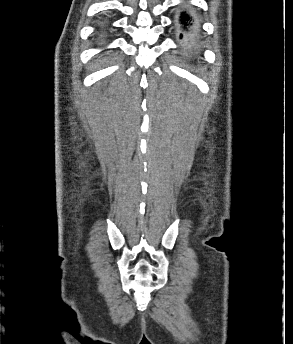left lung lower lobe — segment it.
<instances>
[{
  "label": "left lung lower lobe",
  "instance_id": "obj_1",
  "mask_svg": "<svg viewBox=\"0 0 293 344\" xmlns=\"http://www.w3.org/2000/svg\"><path fill=\"white\" fill-rule=\"evenodd\" d=\"M180 28H181V34L180 39L189 40L192 37L193 34V28H194V21L193 19L185 14H181L180 17Z\"/></svg>",
  "mask_w": 293,
  "mask_h": 344
}]
</instances>
